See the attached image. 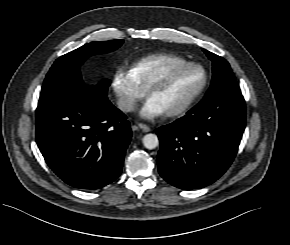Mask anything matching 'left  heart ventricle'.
Returning <instances> with one entry per match:
<instances>
[{"label":"left heart ventricle","mask_w":290,"mask_h":245,"mask_svg":"<svg viewBox=\"0 0 290 245\" xmlns=\"http://www.w3.org/2000/svg\"><path fill=\"white\" fill-rule=\"evenodd\" d=\"M202 81L203 73L199 68H187L169 75L167 81L154 89L149 97L156 100L167 112L182 105L199 88Z\"/></svg>","instance_id":"obj_1"}]
</instances>
